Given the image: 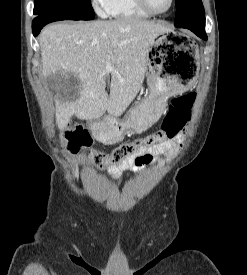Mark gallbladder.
Wrapping results in <instances>:
<instances>
[{
	"label": "gallbladder",
	"mask_w": 247,
	"mask_h": 275,
	"mask_svg": "<svg viewBox=\"0 0 247 275\" xmlns=\"http://www.w3.org/2000/svg\"><path fill=\"white\" fill-rule=\"evenodd\" d=\"M46 82L58 98H65L71 93L77 94L80 88L79 79L72 73L56 72L48 76Z\"/></svg>",
	"instance_id": "1"
}]
</instances>
